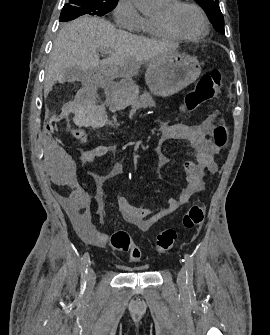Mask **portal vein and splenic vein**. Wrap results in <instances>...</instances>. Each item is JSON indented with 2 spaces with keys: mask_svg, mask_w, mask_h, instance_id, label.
Listing matches in <instances>:
<instances>
[{
  "mask_svg": "<svg viewBox=\"0 0 270 335\" xmlns=\"http://www.w3.org/2000/svg\"><path fill=\"white\" fill-rule=\"evenodd\" d=\"M99 52H101V54H106V52H110V50H107L105 47H102ZM111 54V52H110ZM103 64H112V62H109V60H103Z\"/></svg>",
  "mask_w": 270,
  "mask_h": 335,
  "instance_id": "1",
  "label": "portal vein and splenic vein"
}]
</instances>
